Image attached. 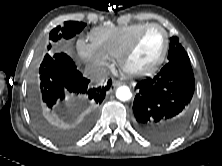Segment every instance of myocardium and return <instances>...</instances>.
Segmentation results:
<instances>
[{"mask_svg":"<svg viewBox=\"0 0 222 166\" xmlns=\"http://www.w3.org/2000/svg\"><path fill=\"white\" fill-rule=\"evenodd\" d=\"M151 28H157L160 29L163 32L164 35V46L162 49V52L157 59V61L149 68L143 69V70H132L128 67L127 61L130 55L133 53V51L136 49L137 45L139 44L140 40L142 39L143 35ZM169 45H170V37L167 32V30L158 23H149L146 26H144L129 42V44L125 47V49L120 54L118 61L120 68L124 73L130 76L134 77H142V76H148L153 73H155L164 63L168 51H169Z\"/></svg>","mask_w":222,"mask_h":166,"instance_id":"obj_1","label":"myocardium"}]
</instances>
